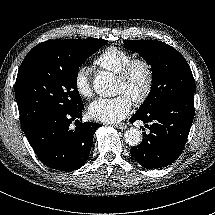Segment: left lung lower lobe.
<instances>
[{"instance_id": "0a47b994", "label": "left lung lower lobe", "mask_w": 215, "mask_h": 215, "mask_svg": "<svg viewBox=\"0 0 215 215\" xmlns=\"http://www.w3.org/2000/svg\"><path fill=\"white\" fill-rule=\"evenodd\" d=\"M194 112L192 93L163 101L148 112L135 113L130 121L142 120L150 130L143 133L138 146L130 149L135 160L147 169L173 163L184 149Z\"/></svg>"}]
</instances>
